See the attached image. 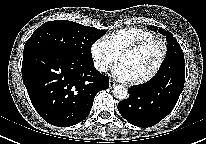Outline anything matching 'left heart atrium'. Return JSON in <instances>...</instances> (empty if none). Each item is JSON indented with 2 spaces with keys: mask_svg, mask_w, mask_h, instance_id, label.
I'll list each match as a JSON object with an SVG mask.
<instances>
[{
  "mask_svg": "<svg viewBox=\"0 0 206 144\" xmlns=\"http://www.w3.org/2000/svg\"><path fill=\"white\" fill-rule=\"evenodd\" d=\"M114 75L123 81H130L132 80V77L129 73V71L127 70V68L123 65V64H119L115 70H114Z\"/></svg>",
  "mask_w": 206,
  "mask_h": 144,
  "instance_id": "left-heart-atrium-1",
  "label": "left heart atrium"
}]
</instances>
